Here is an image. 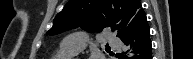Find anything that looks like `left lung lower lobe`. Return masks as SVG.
Listing matches in <instances>:
<instances>
[{
  "label": "left lung lower lobe",
  "mask_w": 193,
  "mask_h": 59,
  "mask_svg": "<svg viewBox=\"0 0 193 59\" xmlns=\"http://www.w3.org/2000/svg\"><path fill=\"white\" fill-rule=\"evenodd\" d=\"M119 38L127 46L120 59H152L150 29L144 11L136 14Z\"/></svg>",
  "instance_id": "obj_1"
}]
</instances>
